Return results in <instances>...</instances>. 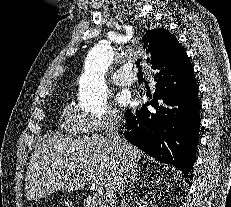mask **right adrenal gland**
<instances>
[{"instance_id": "right-adrenal-gland-1", "label": "right adrenal gland", "mask_w": 231, "mask_h": 207, "mask_svg": "<svg viewBox=\"0 0 231 207\" xmlns=\"http://www.w3.org/2000/svg\"><path fill=\"white\" fill-rule=\"evenodd\" d=\"M129 179H130V187L128 188L127 192H132V189L134 187V184L136 183L139 178H137V170H131V173L129 174Z\"/></svg>"}]
</instances>
